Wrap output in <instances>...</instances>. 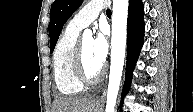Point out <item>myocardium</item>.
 Returning a JSON list of instances; mask_svg holds the SVG:
<instances>
[{"label":"myocardium","mask_w":193,"mask_h":112,"mask_svg":"<svg viewBox=\"0 0 193 112\" xmlns=\"http://www.w3.org/2000/svg\"><path fill=\"white\" fill-rule=\"evenodd\" d=\"M73 70L76 79L82 85H94L101 81L106 73L105 66H102L101 70L95 76H91L87 73L84 65L82 41H78L74 51L73 57Z\"/></svg>","instance_id":"myocardium-1"}]
</instances>
